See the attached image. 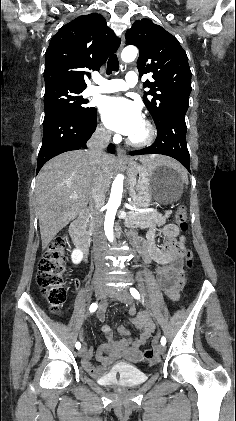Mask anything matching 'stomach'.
Masks as SVG:
<instances>
[{
  "instance_id": "0dacf381",
  "label": "stomach",
  "mask_w": 236,
  "mask_h": 421,
  "mask_svg": "<svg viewBox=\"0 0 236 421\" xmlns=\"http://www.w3.org/2000/svg\"><path fill=\"white\" fill-rule=\"evenodd\" d=\"M126 166L129 176V194L136 206L146 208L152 200L169 204L182 194L183 176L168 164L144 166L133 158L121 162Z\"/></svg>"
}]
</instances>
